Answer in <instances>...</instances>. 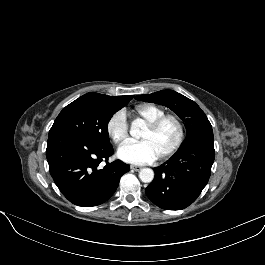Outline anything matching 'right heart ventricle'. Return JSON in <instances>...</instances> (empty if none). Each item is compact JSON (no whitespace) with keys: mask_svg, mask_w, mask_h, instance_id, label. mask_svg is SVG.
<instances>
[{"mask_svg":"<svg viewBox=\"0 0 265 265\" xmlns=\"http://www.w3.org/2000/svg\"><path fill=\"white\" fill-rule=\"evenodd\" d=\"M164 114V108L151 103L139 104L132 110L133 120L145 125Z\"/></svg>","mask_w":265,"mask_h":265,"instance_id":"obj_1","label":"right heart ventricle"}]
</instances>
